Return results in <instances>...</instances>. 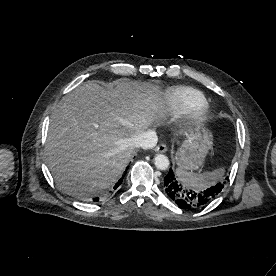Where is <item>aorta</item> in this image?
I'll use <instances>...</instances> for the list:
<instances>
[{
    "label": "aorta",
    "instance_id": "aorta-1",
    "mask_svg": "<svg viewBox=\"0 0 276 276\" xmlns=\"http://www.w3.org/2000/svg\"><path fill=\"white\" fill-rule=\"evenodd\" d=\"M154 164L156 166V168L160 169V170H166L169 167V159L167 156L163 155V154H158L155 156L154 158Z\"/></svg>",
    "mask_w": 276,
    "mask_h": 276
}]
</instances>
